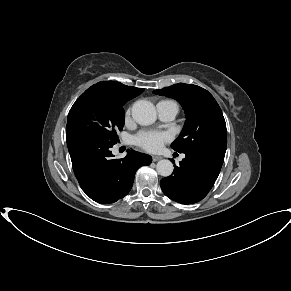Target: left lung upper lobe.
<instances>
[{"label": "left lung upper lobe", "mask_w": 291, "mask_h": 291, "mask_svg": "<svg viewBox=\"0 0 291 291\" xmlns=\"http://www.w3.org/2000/svg\"><path fill=\"white\" fill-rule=\"evenodd\" d=\"M153 93L174 98L184 108V128L171 144L175 151L225 155V119L218 103L207 90L193 84L178 83Z\"/></svg>", "instance_id": "left-lung-upper-lobe-1"}]
</instances>
